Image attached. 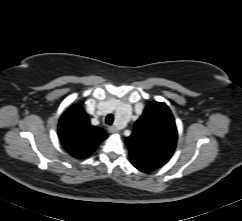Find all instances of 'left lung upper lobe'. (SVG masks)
I'll list each match as a JSON object with an SVG mask.
<instances>
[{
    "label": "left lung upper lobe",
    "instance_id": "1",
    "mask_svg": "<svg viewBox=\"0 0 242 221\" xmlns=\"http://www.w3.org/2000/svg\"><path fill=\"white\" fill-rule=\"evenodd\" d=\"M177 140L174 118L164 103L151 102L126 138L131 163L162 166L172 156Z\"/></svg>",
    "mask_w": 242,
    "mask_h": 221
}]
</instances>
